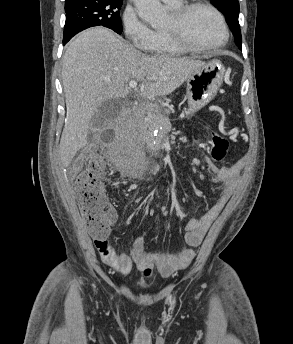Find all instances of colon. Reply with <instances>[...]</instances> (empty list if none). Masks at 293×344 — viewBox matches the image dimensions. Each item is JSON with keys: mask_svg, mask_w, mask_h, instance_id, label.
Returning <instances> with one entry per match:
<instances>
[{"mask_svg": "<svg viewBox=\"0 0 293 344\" xmlns=\"http://www.w3.org/2000/svg\"><path fill=\"white\" fill-rule=\"evenodd\" d=\"M112 138V132L104 134L105 140ZM211 157L222 161L228 151V141L217 132H211ZM106 175L103 162L92 157L86 163L84 170L76 181V194L81 212L86 220L89 234L95 239H103L118 218L116 210L112 207L104 193V178ZM152 269L143 270L145 277H150Z\"/></svg>", "mask_w": 293, "mask_h": 344, "instance_id": "colon-1", "label": "colon"}]
</instances>
